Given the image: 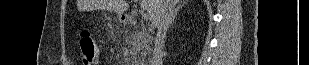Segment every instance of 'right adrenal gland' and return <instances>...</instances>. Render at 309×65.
Segmentation results:
<instances>
[{
  "mask_svg": "<svg viewBox=\"0 0 309 65\" xmlns=\"http://www.w3.org/2000/svg\"><path fill=\"white\" fill-rule=\"evenodd\" d=\"M180 9H181L180 6L173 9L170 25H172L174 23Z\"/></svg>",
  "mask_w": 309,
  "mask_h": 65,
  "instance_id": "right-adrenal-gland-1",
  "label": "right adrenal gland"
}]
</instances>
